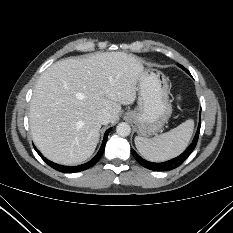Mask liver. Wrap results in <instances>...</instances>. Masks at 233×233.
Wrapping results in <instances>:
<instances>
[{"label":"liver","instance_id":"liver-1","mask_svg":"<svg viewBox=\"0 0 233 233\" xmlns=\"http://www.w3.org/2000/svg\"><path fill=\"white\" fill-rule=\"evenodd\" d=\"M142 61L124 52L66 58L39 77L30 103L33 141L49 160L77 165L94 153L106 111L118 119L121 105L134 103Z\"/></svg>","mask_w":233,"mask_h":233}]
</instances>
